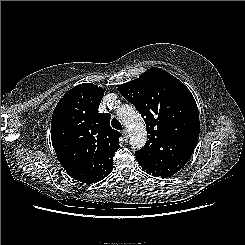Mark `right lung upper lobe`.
<instances>
[{
	"label": "right lung upper lobe",
	"instance_id": "obj_1",
	"mask_svg": "<svg viewBox=\"0 0 245 245\" xmlns=\"http://www.w3.org/2000/svg\"><path fill=\"white\" fill-rule=\"evenodd\" d=\"M104 89L83 83L58 102L51 121V139L63 168L76 172L80 182L94 183L113 169L121 133L110 127L111 115L99 113Z\"/></svg>",
	"mask_w": 245,
	"mask_h": 245
}]
</instances>
